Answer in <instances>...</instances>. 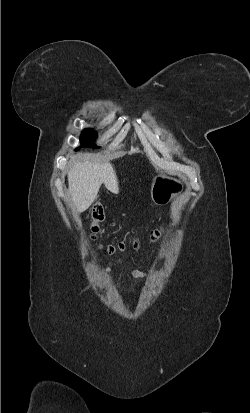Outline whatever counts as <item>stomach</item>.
I'll return each mask as SVG.
<instances>
[{
  "mask_svg": "<svg viewBox=\"0 0 250 413\" xmlns=\"http://www.w3.org/2000/svg\"><path fill=\"white\" fill-rule=\"evenodd\" d=\"M184 190L182 180L167 175H158L151 186V197L156 205L164 206L179 196Z\"/></svg>",
  "mask_w": 250,
  "mask_h": 413,
  "instance_id": "1",
  "label": "stomach"
}]
</instances>
